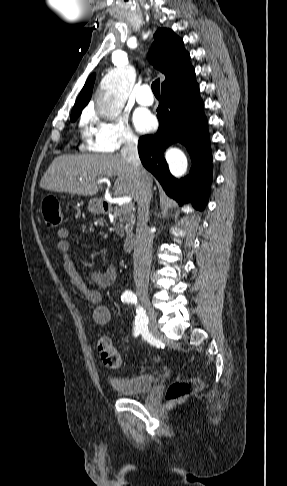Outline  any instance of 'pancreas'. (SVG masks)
I'll return each mask as SVG.
<instances>
[{
	"instance_id": "pancreas-1",
	"label": "pancreas",
	"mask_w": 287,
	"mask_h": 486,
	"mask_svg": "<svg viewBox=\"0 0 287 486\" xmlns=\"http://www.w3.org/2000/svg\"><path fill=\"white\" fill-rule=\"evenodd\" d=\"M115 221L117 225L115 231L120 237L124 236V233H130L133 229L135 223V216L132 212V207L129 208L121 207L116 209L114 212Z\"/></svg>"
}]
</instances>
